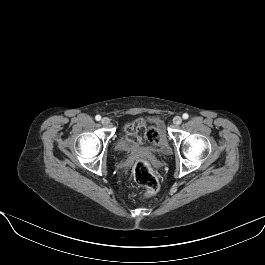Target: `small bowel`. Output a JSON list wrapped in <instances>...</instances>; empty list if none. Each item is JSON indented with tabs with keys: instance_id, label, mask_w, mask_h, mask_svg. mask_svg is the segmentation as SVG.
Segmentation results:
<instances>
[{
	"instance_id": "1",
	"label": "small bowel",
	"mask_w": 265,
	"mask_h": 265,
	"mask_svg": "<svg viewBox=\"0 0 265 265\" xmlns=\"http://www.w3.org/2000/svg\"><path fill=\"white\" fill-rule=\"evenodd\" d=\"M126 138L129 141H133L137 144L142 142L143 137L138 133L135 124H129L125 129Z\"/></svg>"
}]
</instances>
